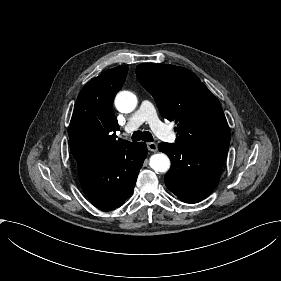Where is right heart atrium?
I'll list each match as a JSON object with an SVG mask.
<instances>
[{
    "label": "right heart atrium",
    "instance_id": "1",
    "mask_svg": "<svg viewBox=\"0 0 281 281\" xmlns=\"http://www.w3.org/2000/svg\"><path fill=\"white\" fill-rule=\"evenodd\" d=\"M115 104L116 106L120 105L123 108L127 109L130 104L129 95L124 91H120L115 97Z\"/></svg>",
    "mask_w": 281,
    "mask_h": 281
}]
</instances>
